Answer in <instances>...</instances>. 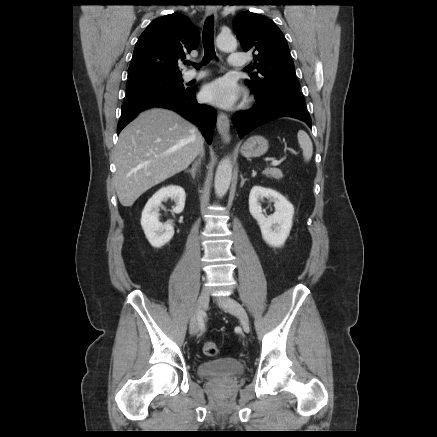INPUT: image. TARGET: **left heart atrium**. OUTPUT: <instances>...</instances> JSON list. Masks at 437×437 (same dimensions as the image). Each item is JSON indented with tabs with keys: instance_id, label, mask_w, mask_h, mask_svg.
<instances>
[{
	"instance_id": "39dd6f15",
	"label": "left heart atrium",
	"mask_w": 437,
	"mask_h": 437,
	"mask_svg": "<svg viewBox=\"0 0 437 437\" xmlns=\"http://www.w3.org/2000/svg\"><path fill=\"white\" fill-rule=\"evenodd\" d=\"M202 95L206 101L230 109L238 101L241 90L234 81L220 78L205 86Z\"/></svg>"
}]
</instances>
